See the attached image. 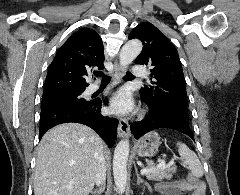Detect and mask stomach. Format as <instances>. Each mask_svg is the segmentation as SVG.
Segmentation results:
<instances>
[{"mask_svg": "<svg viewBox=\"0 0 240 195\" xmlns=\"http://www.w3.org/2000/svg\"><path fill=\"white\" fill-rule=\"evenodd\" d=\"M160 139L161 137L157 131H149V133L142 135L134 145L137 155H140V157H151V155H155L161 143Z\"/></svg>", "mask_w": 240, "mask_h": 195, "instance_id": "1", "label": "stomach"}]
</instances>
